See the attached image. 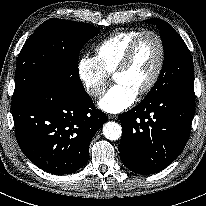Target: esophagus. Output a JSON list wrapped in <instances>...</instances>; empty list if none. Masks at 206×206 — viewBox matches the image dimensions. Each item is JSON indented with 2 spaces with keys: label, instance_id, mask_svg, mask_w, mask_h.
<instances>
[{
  "label": "esophagus",
  "instance_id": "34e87169",
  "mask_svg": "<svg viewBox=\"0 0 206 206\" xmlns=\"http://www.w3.org/2000/svg\"><path fill=\"white\" fill-rule=\"evenodd\" d=\"M108 118H109V119H114V120H116V119H118V116H117V115L109 114V115H108Z\"/></svg>",
  "mask_w": 206,
  "mask_h": 206
}]
</instances>
